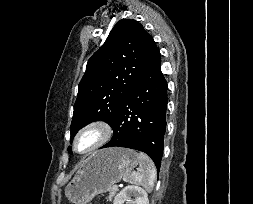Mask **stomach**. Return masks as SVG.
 <instances>
[{"instance_id":"0dacf381","label":"stomach","mask_w":253,"mask_h":204,"mask_svg":"<svg viewBox=\"0 0 253 204\" xmlns=\"http://www.w3.org/2000/svg\"><path fill=\"white\" fill-rule=\"evenodd\" d=\"M138 163V154L131 149L96 151L82 162L67 184L65 196L73 204H88L96 195L109 191Z\"/></svg>"}]
</instances>
